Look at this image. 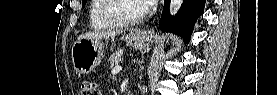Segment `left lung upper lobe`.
I'll return each mask as SVG.
<instances>
[{"instance_id": "obj_1", "label": "left lung upper lobe", "mask_w": 277, "mask_h": 95, "mask_svg": "<svg viewBox=\"0 0 277 95\" xmlns=\"http://www.w3.org/2000/svg\"><path fill=\"white\" fill-rule=\"evenodd\" d=\"M87 0H82V6H84L86 4Z\"/></svg>"}]
</instances>
